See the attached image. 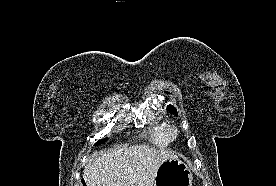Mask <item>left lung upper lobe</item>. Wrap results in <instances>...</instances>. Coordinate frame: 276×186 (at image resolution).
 I'll list each match as a JSON object with an SVG mask.
<instances>
[{
  "mask_svg": "<svg viewBox=\"0 0 276 186\" xmlns=\"http://www.w3.org/2000/svg\"><path fill=\"white\" fill-rule=\"evenodd\" d=\"M167 110H169V111L172 112L173 114L176 113V110H175L174 107L171 106V105H169V106L167 107Z\"/></svg>",
  "mask_w": 276,
  "mask_h": 186,
  "instance_id": "left-lung-upper-lobe-1",
  "label": "left lung upper lobe"
}]
</instances>
